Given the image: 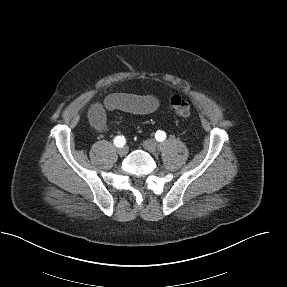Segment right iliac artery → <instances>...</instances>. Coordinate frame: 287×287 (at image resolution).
Listing matches in <instances>:
<instances>
[{
	"instance_id": "82829eb1",
	"label": "right iliac artery",
	"mask_w": 287,
	"mask_h": 287,
	"mask_svg": "<svg viewBox=\"0 0 287 287\" xmlns=\"http://www.w3.org/2000/svg\"><path fill=\"white\" fill-rule=\"evenodd\" d=\"M125 143H126V140H125L124 136H117L114 138V144L117 147H122L125 145Z\"/></svg>"
}]
</instances>
